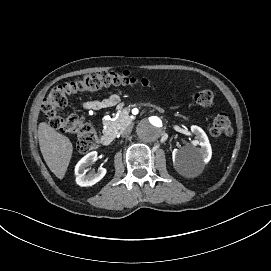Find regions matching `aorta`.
Returning <instances> with one entry per match:
<instances>
[{"instance_id":"1","label":"aorta","mask_w":271,"mask_h":271,"mask_svg":"<svg viewBox=\"0 0 271 271\" xmlns=\"http://www.w3.org/2000/svg\"><path fill=\"white\" fill-rule=\"evenodd\" d=\"M163 129L164 121L157 116H151L138 123L136 132L142 142H154L161 137Z\"/></svg>"}]
</instances>
